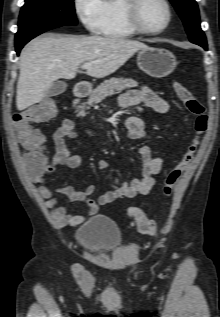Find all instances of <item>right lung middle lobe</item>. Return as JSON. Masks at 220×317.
I'll return each instance as SVG.
<instances>
[{
	"label": "right lung middle lobe",
	"mask_w": 220,
	"mask_h": 317,
	"mask_svg": "<svg viewBox=\"0 0 220 317\" xmlns=\"http://www.w3.org/2000/svg\"><path fill=\"white\" fill-rule=\"evenodd\" d=\"M76 24L73 0H25L15 41L42 28Z\"/></svg>",
	"instance_id": "1"
}]
</instances>
